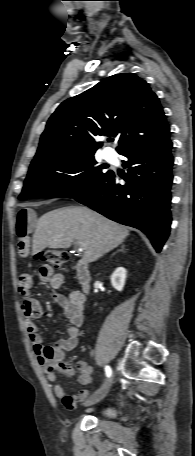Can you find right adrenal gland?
<instances>
[{
  "instance_id": "obj_1",
  "label": "right adrenal gland",
  "mask_w": 195,
  "mask_h": 456,
  "mask_svg": "<svg viewBox=\"0 0 195 456\" xmlns=\"http://www.w3.org/2000/svg\"><path fill=\"white\" fill-rule=\"evenodd\" d=\"M117 252H124V246L121 247L120 250H118ZM116 253V252H115ZM115 253H113L112 255H114Z\"/></svg>"
}]
</instances>
